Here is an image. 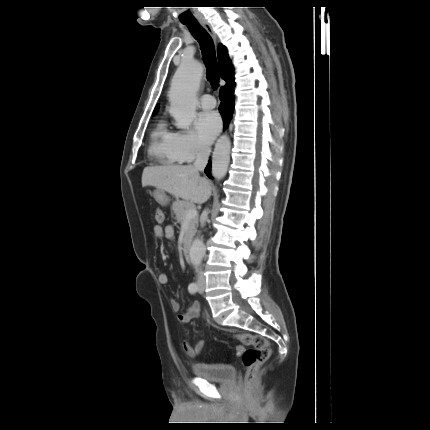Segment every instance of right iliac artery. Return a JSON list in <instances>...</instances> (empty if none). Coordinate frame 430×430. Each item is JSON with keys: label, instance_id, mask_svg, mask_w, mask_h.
<instances>
[{"label": "right iliac artery", "instance_id": "right-iliac-artery-1", "mask_svg": "<svg viewBox=\"0 0 430 430\" xmlns=\"http://www.w3.org/2000/svg\"><path fill=\"white\" fill-rule=\"evenodd\" d=\"M197 290H198V285H197V283L192 282V283H190V284H189V286H188V291H189L191 294L196 293V292H197Z\"/></svg>", "mask_w": 430, "mask_h": 430}]
</instances>
